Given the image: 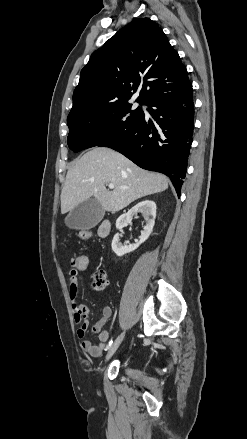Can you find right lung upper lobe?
I'll return each instance as SVG.
<instances>
[{
    "label": "right lung upper lobe",
    "instance_id": "right-lung-upper-lobe-1",
    "mask_svg": "<svg viewBox=\"0 0 247 439\" xmlns=\"http://www.w3.org/2000/svg\"><path fill=\"white\" fill-rule=\"evenodd\" d=\"M191 84L181 59L163 30L149 18H136L94 51L80 73L68 117L97 106L129 100L143 104Z\"/></svg>",
    "mask_w": 247,
    "mask_h": 439
}]
</instances>
